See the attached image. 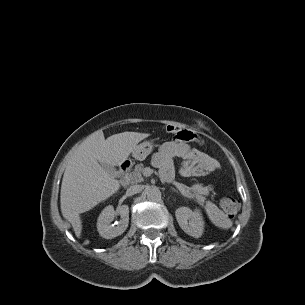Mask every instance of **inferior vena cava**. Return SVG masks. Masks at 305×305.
Wrapping results in <instances>:
<instances>
[{
    "mask_svg": "<svg viewBox=\"0 0 305 305\" xmlns=\"http://www.w3.org/2000/svg\"><path fill=\"white\" fill-rule=\"evenodd\" d=\"M143 189V187L141 185H133V186H130L127 191H126V195L127 196H132L134 194H137L139 192H141Z\"/></svg>",
    "mask_w": 305,
    "mask_h": 305,
    "instance_id": "1",
    "label": "inferior vena cava"
}]
</instances>
